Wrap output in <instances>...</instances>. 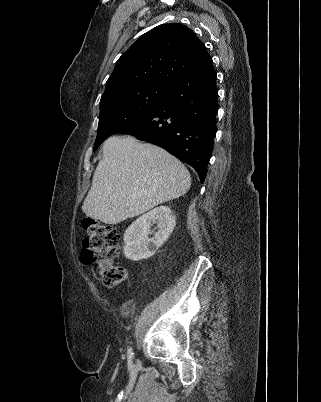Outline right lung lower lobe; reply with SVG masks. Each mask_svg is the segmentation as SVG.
Masks as SVG:
<instances>
[{
  "mask_svg": "<svg viewBox=\"0 0 321 402\" xmlns=\"http://www.w3.org/2000/svg\"><path fill=\"white\" fill-rule=\"evenodd\" d=\"M217 94L211 64L168 85L158 107L117 133L163 147L191 165L203 182L216 134Z\"/></svg>",
  "mask_w": 321,
  "mask_h": 402,
  "instance_id": "obj_1",
  "label": "right lung lower lobe"
}]
</instances>
